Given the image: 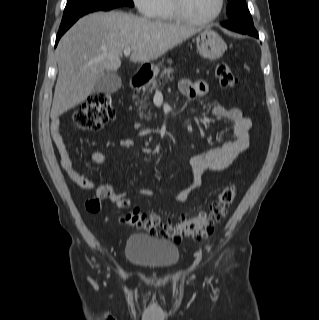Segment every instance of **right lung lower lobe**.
Returning <instances> with one entry per match:
<instances>
[{"instance_id": "right-lung-lower-lobe-1", "label": "right lung lower lobe", "mask_w": 319, "mask_h": 320, "mask_svg": "<svg viewBox=\"0 0 319 320\" xmlns=\"http://www.w3.org/2000/svg\"><path fill=\"white\" fill-rule=\"evenodd\" d=\"M74 24V22L73 23H71L70 25H68V26H66V27H64V28H59V32H58V34H57V37H56V43H55V46L57 45V43H58V41H59V39H60V37L72 26Z\"/></svg>"}]
</instances>
